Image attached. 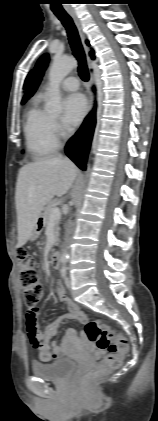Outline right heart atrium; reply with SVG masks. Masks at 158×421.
<instances>
[{
	"instance_id": "1",
	"label": "right heart atrium",
	"mask_w": 158,
	"mask_h": 421,
	"mask_svg": "<svg viewBox=\"0 0 158 421\" xmlns=\"http://www.w3.org/2000/svg\"><path fill=\"white\" fill-rule=\"evenodd\" d=\"M54 130L59 135L63 133V128L58 122H54Z\"/></svg>"
}]
</instances>
